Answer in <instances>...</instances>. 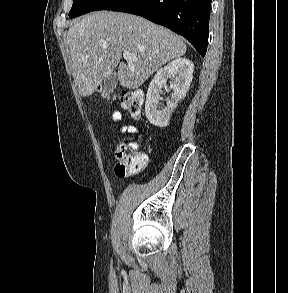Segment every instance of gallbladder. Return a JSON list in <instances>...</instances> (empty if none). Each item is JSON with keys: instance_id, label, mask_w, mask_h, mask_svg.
<instances>
[{"instance_id": "gallbladder-1", "label": "gallbladder", "mask_w": 288, "mask_h": 293, "mask_svg": "<svg viewBox=\"0 0 288 293\" xmlns=\"http://www.w3.org/2000/svg\"><path fill=\"white\" fill-rule=\"evenodd\" d=\"M118 82L117 73L113 72L109 77H107L104 81L103 88L101 90L102 98L108 97L116 87Z\"/></svg>"}]
</instances>
